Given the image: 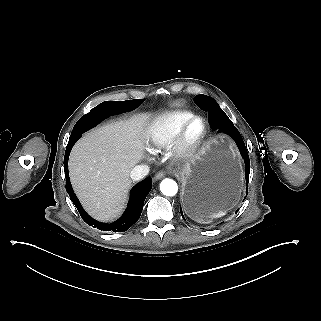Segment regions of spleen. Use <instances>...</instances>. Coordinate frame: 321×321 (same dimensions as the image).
<instances>
[{
    "mask_svg": "<svg viewBox=\"0 0 321 321\" xmlns=\"http://www.w3.org/2000/svg\"><path fill=\"white\" fill-rule=\"evenodd\" d=\"M222 215H224V212L223 211H219L217 214H215L214 216L215 217H220V216H222Z\"/></svg>",
    "mask_w": 321,
    "mask_h": 321,
    "instance_id": "spleen-1",
    "label": "spleen"
}]
</instances>
